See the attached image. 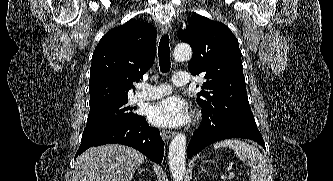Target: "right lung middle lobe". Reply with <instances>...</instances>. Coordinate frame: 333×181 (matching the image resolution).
Masks as SVG:
<instances>
[{"label": "right lung middle lobe", "mask_w": 333, "mask_h": 181, "mask_svg": "<svg viewBox=\"0 0 333 181\" xmlns=\"http://www.w3.org/2000/svg\"><path fill=\"white\" fill-rule=\"evenodd\" d=\"M127 102L128 99H124L90 109L84 133L125 122L137 116L132 112L133 108L127 106Z\"/></svg>", "instance_id": "obj_1"}]
</instances>
